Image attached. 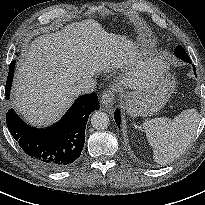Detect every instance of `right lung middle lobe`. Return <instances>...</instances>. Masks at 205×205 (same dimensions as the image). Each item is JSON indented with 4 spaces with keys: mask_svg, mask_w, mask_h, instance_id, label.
Listing matches in <instances>:
<instances>
[{
    "mask_svg": "<svg viewBox=\"0 0 205 205\" xmlns=\"http://www.w3.org/2000/svg\"><path fill=\"white\" fill-rule=\"evenodd\" d=\"M13 65H14V62L12 61L11 64H10V67H9V71L14 70ZM12 81H13L12 75H8L7 82H6V87H5V96H6L7 99L9 98V93H10V88H11Z\"/></svg>",
    "mask_w": 205,
    "mask_h": 205,
    "instance_id": "right-lung-middle-lobe-1",
    "label": "right lung middle lobe"
}]
</instances>
